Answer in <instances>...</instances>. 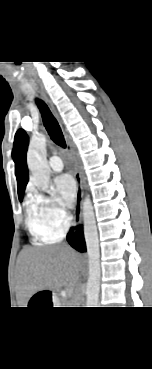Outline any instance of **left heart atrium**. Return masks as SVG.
Wrapping results in <instances>:
<instances>
[{
  "label": "left heart atrium",
  "mask_w": 152,
  "mask_h": 369,
  "mask_svg": "<svg viewBox=\"0 0 152 369\" xmlns=\"http://www.w3.org/2000/svg\"><path fill=\"white\" fill-rule=\"evenodd\" d=\"M54 187L65 207H72L76 196V184L70 174H61L54 180Z\"/></svg>",
  "instance_id": "39dd6f15"
}]
</instances>
